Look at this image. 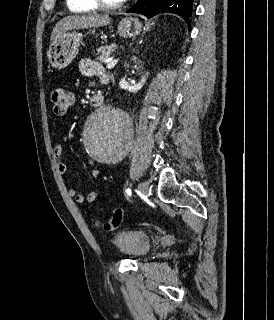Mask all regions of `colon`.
Instances as JSON below:
<instances>
[{"label": "colon", "mask_w": 274, "mask_h": 320, "mask_svg": "<svg viewBox=\"0 0 274 320\" xmlns=\"http://www.w3.org/2000/svg\"><path fill=\"white\" fill-rule=\"evenodd\" d=\"M50 99L54 107V112L57 115H64L67 113L68 108L72 105L73 97L71 92L67 91L62 86L54 87L50 93ZM124 213L121 209L115 208L112 211L111 219L102 224L106 232H111L119 227ZM100 224L99 222L97 225Z\"/></svg>", "instance_id": "colon-1"}]
</instances>
